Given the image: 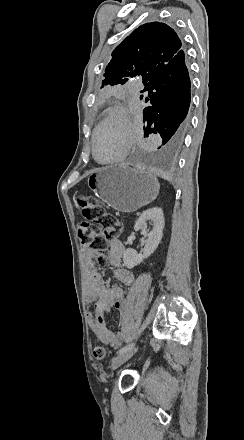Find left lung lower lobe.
<instances>
[{"label": "left lung lower lobe", "mask_w": 244, "mask_h": 440, "mask_svg": "<svg viewBox=\"0 0 244 440\" xmlns=\"http://www.w3.org/2000/svg\"><path fill=\"white\" fill-rule=\"evenodd\" d=\"M148 92L143 110L144 137L159 133L162 143L157 151L168 154L179 149L190 129V79L185 58L179 64L163 67L145 85ZM143 98V95L140 96Z\"/></svg>", "instance_id": "left-lung-lower-lobe-1"}]
</instances>
